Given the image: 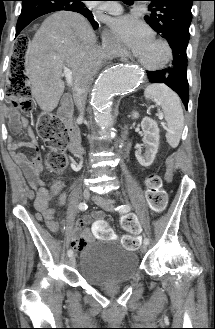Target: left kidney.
I'll return each instance as SVG.
<instances>
[{
  "instance_id": "1",
  "label": "left kidney",
  "mask_w": 215,
  "mask_h": 329,
  "mask_svg": "<svg viewBox=\"0 0 215 329\" xmlns=\"http://www.w3.org/2000/svg\"><path fill=\"white\" fill-rule=\"evenodd\" d=\"M138 116L139 114L137 112L132 113L133 119L138 118ZM141 128L144 132L143 144L145 147V152L143 153L141 148H139L135 151V156L140 165L148 167L153 163L158 152L160 139L159 128L157 123L149 117L143 118L141 121Z\"/></svg>"
}]
</instances>
